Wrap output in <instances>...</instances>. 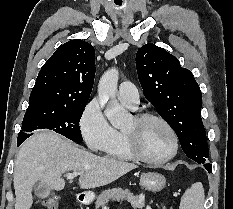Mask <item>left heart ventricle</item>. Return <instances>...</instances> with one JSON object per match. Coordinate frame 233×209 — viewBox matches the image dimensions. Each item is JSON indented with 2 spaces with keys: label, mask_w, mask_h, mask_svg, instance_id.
Returning a JSON list of instances; mask_svg holds the SVG:
<instances>
[{
  "label": "left heart ventricle",
  "mask_w": 233,
  "mask_h": 209,
  "mask_svg": "<svg viewBox=\"0 0 233 209\" xmlns=\"http://www.w3.org/2000/svg\"><path fill=\"white\" fill-rule=\"evenodd\" d=\"M134 129L133 119L125 130ZM138 145L141 151L150 158L160 159L172 150V139L167 129L156 120H146L137 127Z\"/></svg>",
  "instance_id": "b2bd125f"
}]
</instances>
